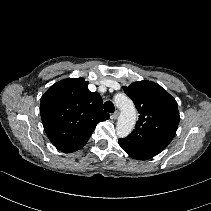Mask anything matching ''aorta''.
<instances>
[{"mask_svg": "<svg viewBox=\"0 0 211 211\" xmlns=\"http://www.w3.org/2000/svg\"><path fill=\"white\" fill-rule=\"evenodd\" d=\"M114 101L116 106L121 110L116 125V133L118 137L124 138L132 132L135 126L136 109L131 99L124 94L117 95Z\"/></svg>", "mask_w": 211, "mask_h": 211, "instance_id": "1", "label": "aorta"}]
</instances>
